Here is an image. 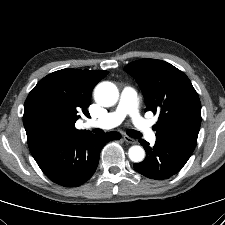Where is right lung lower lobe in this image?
Here are the masks:
<instances>
[{
	"label": "right lung lower lobe",
	"instance_id": "1",
	"mask_svg": "<svg viewBox=\"0 0 225 225\" xmlns=\"http://www.w3.org/2000/svg\"><path fill=\"white\" fill-rule=\"evenodd\" d=\"M121 134L108 132L98 136L91 132L63 135L31 151L43 173L54 183L77 187L94 174L102 147Z\"/></svg>",
	"mask_w": 225,
	"mask_h": 225
}]
</instances>
